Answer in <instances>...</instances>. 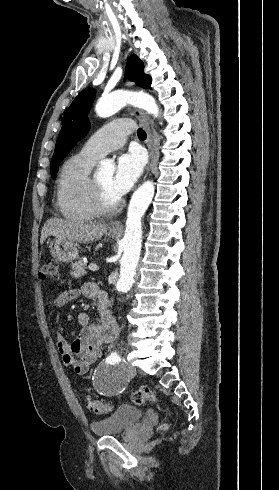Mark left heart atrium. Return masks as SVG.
<instances>
[{
    "instance_id": "1",
    "label": "left heart atrium",
    "mask_w": 279,
    "mask_h": 490,
    "mask_svg": "<svg viewBox=\"0 0 279 490\" xmlns=\"http://www.w3.org/2000/svg\"><path fill=\"white\" fill-rule=\"evenodd\" d=\"M143 161L138 153L121 155L117 160L116 171L112 177L111 189L115 198L127 194L143 173Z\"/></svg>"
}]
</instances>
